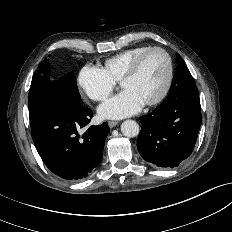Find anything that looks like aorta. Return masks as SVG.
<instances>
[{"label":"aorta","mask_w":232,"mask_h":232,"mask_svg":"<svg viewBox=\"0 0 232 232\" xmlns=\"http://www.w3.org/2000/svg\"><path fill=\"white\" fill-rule=\"evenodd\" d=\"M121 132L126 137H135L139 134V125L134 120H126L121 125Z\"/></svg>","instance_id":"1"}]
</instances>
